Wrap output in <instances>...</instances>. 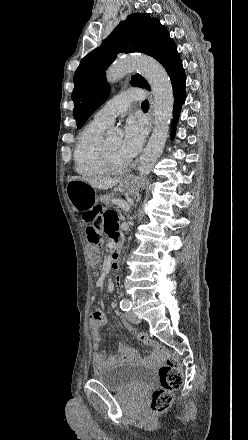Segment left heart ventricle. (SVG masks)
<instances>
[{
	"mask_svg": "<svg viewBox=\"0 0 248 440\" xmlns=\"http://www.w3.org/2000/svg\"><path fill=\"white\" fill-rule=\"evenodd\" d=\"M106 142L109 151L111 153L112 159L114 160L115 163L119 165H124L128 163L120 153V143H121L120 137H110L106 139Z\"/></svg>",
	"mask_w": 248,
	"mask_h": 440,
	"instance_id": "obj_1",
	"label": "left heart ventricle"
}]
</instances>
